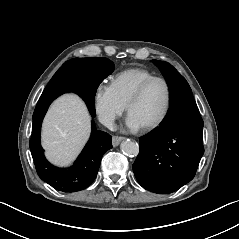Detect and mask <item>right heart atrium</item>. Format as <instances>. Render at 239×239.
<instances>
[{
	"label": "right heart atrium",
	"mask_w": 239,
	"mask_h": 239,
	"mask_svg": "<svg viewBox=\"0 0 239 239\" xmlns=\"http://www.w3.org/2000/svg\"><path fill=\"white\" fill-rule=\"evenodd\" d=\"M94 110L105 125L112 127L126 110L111 84H98L93 94Z\"/></svg>",
	"instance_id": "1"
}]
</instances>
